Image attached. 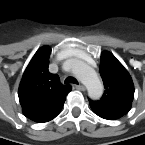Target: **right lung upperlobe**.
Here are the masks:
<instances>
[{
	"mask_svg": "<svg viewBox=\"0 0 145 145\" xmlns=\"http://www.w3.org/2000/svg\"><path fill=\"white\" fill-rule=\"evenodd\" d=\"M51 48H40L26 68L18 91L24 115L36 122H47L61 111L70 85H62L57 74L48 70Z\"/></svg>",
	"mask_w": 145,
	"mask_h": 145,
	"instance_id": "1",
	"label": "right lung upper lobe"
}]
</instances>
